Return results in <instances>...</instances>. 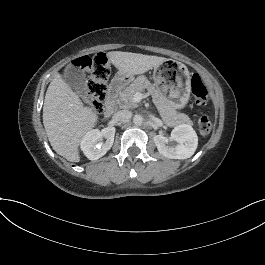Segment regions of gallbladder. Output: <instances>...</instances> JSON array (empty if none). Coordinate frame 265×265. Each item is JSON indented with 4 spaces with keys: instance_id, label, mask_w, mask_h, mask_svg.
I'll return each mask as SVG.
<instances>
[{
    "instance_id": "1",
    "label": "gallbladder",
    "mask_w": 265,
    "mask_h": 265,
    "mask_svg": "<svg viewBox=\"0 0 265 265\" xmlns=\"http://www.w3.org/2000/svg\"><path fill=\"white\" fill-rule=\"evenodd\" d=\"M64 77L83 97L87 95L89 88L86 83L85 72L82 69L69 64L65 67Z\"/></svg>"
}]
</instances>
